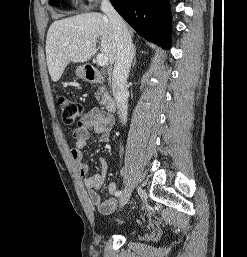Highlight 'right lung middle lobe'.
<instances>
[{"instance_id":"1","label":"right lung middle lobe","mask_w":247,"mask_h":257,"mask_svg":"<svg viewBox=\"0 0 247 257\" xmlns=\"http://www.w3.org/2000/svg\"><path fill=\"white\" fill-rule=\"evenodd\" d=\"M61 0H50L52 5H57Z\"/></svg>"}]
</instances>
